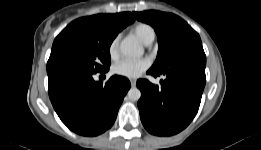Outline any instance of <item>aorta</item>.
<instances>
[{
	"mask_svg": "<svg viewBox=\"0 0 261 150\" xmlns=\"http://www.w3.org/2000/svg\"><path fill=\"white\" fill-rule=\"evenodd\" d=\"M120 52L123 56L129 58H138L144 54V49L138 41L132 38H125L120 45ZM128 98L132 101H138L141 92L137 87H132L128 91Z\"/></svg>",
	"mask_w": 261,
	"mask_h": 150,
	"instance_id": "762f6f07",
	"label": "aorta"
}]
</instances>
